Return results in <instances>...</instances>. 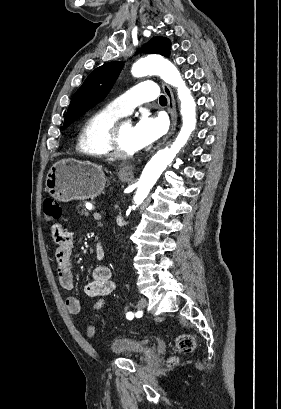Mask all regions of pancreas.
<instances>
[{
  "instance_id": "pancreas-1",
  "label": "pancreas",
  "mask_w": 281,
  "mask_h": 409,
  "mask_svg": "<svg viewBox=\"0 0 281 409\" xmlns=\"http://www.w3.org/2000/svg\"><path fill=\"white\" fill-rule=\"evenodd\" d=\"M78 207H82V211H80V213H82V215H85V213H88V211H86V209H83V207H85V205H82V202H80V205H78Z\"/></svg>"
}]
</instances>
